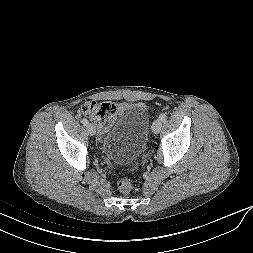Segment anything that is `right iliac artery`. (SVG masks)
I'll use <instances>...</instances> for the list:
<instances>
[{"instance_id":"right-iliac-artery-1","label":"right iliac artery","mask_w":253,"mask_h":253,"mask_svg":"<svg viewBox=\"0 0 253 253\" xmlns=\"http://www.w3.org/2000/svg\"><path fill=\"white\" fill-rule=\"evenodd\" d=\"M81 122H82V124H83V125H88V124H89L88 120H87V119H85V118H84V119H82V121H81Z\"/></svg>"}]
</instances>
